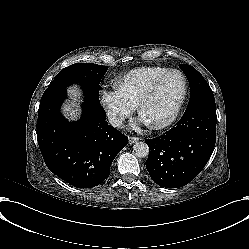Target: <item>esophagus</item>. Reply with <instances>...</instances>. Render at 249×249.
I'll list each match as a JSON object with an SVG mask.
<instances>
[{"mask_svg":"<svg viewBox=\"0 0 249 249\" xmlns=\"http://www.w3.org/2000/svg\"><path fill=\"white\" fill-rule=\"evenodd\" d=\"M139 140H141L140 137H129V143H130V144H132V143H134V142H137V141H139Z\"/></svg>","mask_w":249,"mask_h":249,"instance_id":"esophagus-1","label":"esophagus"}]
</instances>
